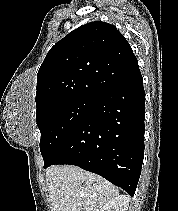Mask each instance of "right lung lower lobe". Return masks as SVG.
Wrapping results in <instances>:
<instances>
[{"label":"right lung lower lobe","instance_id":"obj_1","mask_svg":"<svg viewBox=\"0 0 178 211\" xmlns=\"http://www.w3.org/2000/svg\"><path fill=\"white\" fill-rule=\"evenodd\" d=\"M144 118L139 72L96 99L86 118L44 158V168L76 165L133 196L144 158Z\"/></svg>","mask_w":178,"mask_h":211}]
</instances>
